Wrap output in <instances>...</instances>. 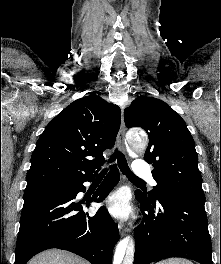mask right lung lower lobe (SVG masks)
<instances>
[{
    "mask_svg": "<svg viewBox=\"0 0 221 264\" xmlns=\"http://www.w3.org/2000/svg\"><path fill=\"white\" fill-rule=\"evenodd\" d=\"M92 178L72 182L66 191H38L24 194L15 263L26 264L37 253L59 248L71 251L92 264H111L113 248L119 239L118 227L105 208L93 216L84 212L90 201H102L119 181L113 166L93 197L75 201L85 191L83 183Z\"/></svg>",
    "mask_w": 221,
    "mask_h": 264,
    "instance_id": "right-lung-lower-lobe-1",
    "label": "right lung lower lobe"
}]
</instances>
